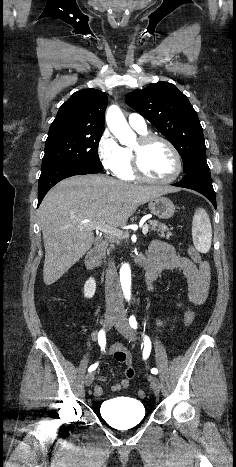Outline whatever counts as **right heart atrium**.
Instances as JSON below:
<instances>
[{
    "label": "right heart atrium",
    "instance_id": "1",
    "mask_svg": "<svg viewBox=\"0 0 236 467\" xmlns=\"http://www.w3.org/2000/svg\"><path fill=\"white\" fill-rule=\"evenodd\" d=\"M97 156L101 166L109 172H116L125 160L123 147L108 130L103 131L98 140Z\"/></svg>",
    "mask_w": 236,
    "mask_h": 467
}]
</instances>
